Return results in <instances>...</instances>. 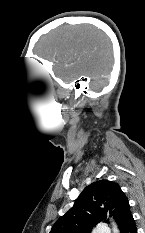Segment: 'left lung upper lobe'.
<instances>
[{"label":"left lung upper lobe","instance_id":"5c2ea615","mask_svg":"<svg viewBox=\"0 0 145 233\" xmlns=\"http://www.w3.org/2000/svg\"><path fill=\"white\" fill-rule=\"evenodd\" d=\"M109 211L121 233L133 220L127 197L118 184L99 180L88 185L73 207L52 227L50 233H90L97 223L106 221Z\"/></svg>","mask_w":145,"mask_h":233}]
</instances>
